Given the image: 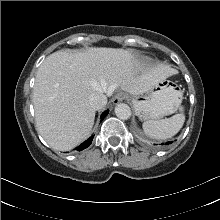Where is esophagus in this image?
<instances>
[{"label":"esophagus","mask_w":220,"mask_h":220,"mask_svg":"<svg viewBox=\"0 0 220 220\" xmlns=\"http://www.w3.org/2000/svg\"><path fill=\"white\" fill-rule=\"evenodd\" d=\"M126 98V95L124 93H118L113 99L114 104H118L119 102L123 101Z\"/></svg>","instance_id":"34e87169"}]
</instances>
